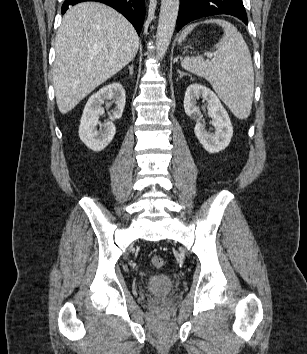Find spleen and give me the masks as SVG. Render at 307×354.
I'll list each match as a JSON object with an SVG mask.
<instances>
[{"instance_id": "3e777b00", "label": "spleen", "mask_w": 307, "mask_h": 354, "mask_svg": "<svg viewBox=\"0 0 307 354\" xmlns=\"http://www.w3.org/2000/svg\"><path fill=\"white\" fill-rule=\"evenodd\" d=\"M224 30L223 37L215 45L213 59L185 57L181 66L191 73L205 78L212 85L220 99L239 119L248 118L254 95V69L251 54L242 35L231 23L223 20H209ZM189 25L181 34L179 43L196 27Z\"/></svg>"}]
</instances>
